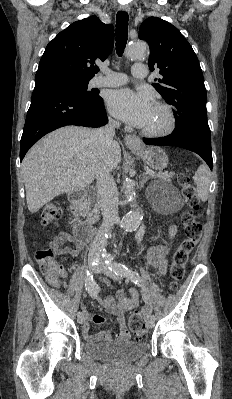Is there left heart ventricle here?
Returning a JSON list of instances; mask_svg holds the SVG:
<instances>
[{
	"mask_svg": "<svg viewBox=\"0 0 232 399\" xmlns=\"http://www.w3.org/2000/svg\"><path fill=\"white\" fill-rule=\"evenodd\" d=\"M166 121L167 119L164 111L161 110L157 105H155L151 117L145 123V125H143L139 129L147 132L159 131L165 127Z\"/></svg>",
	"mask_w": 232,
	"mask_h": 399,
	"instance_id": "1",
	"label": "left heart ventricle"
}]
</instances>
